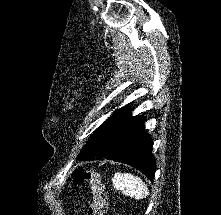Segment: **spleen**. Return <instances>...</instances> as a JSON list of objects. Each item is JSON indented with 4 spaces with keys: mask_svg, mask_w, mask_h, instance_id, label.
Wrapping results in <instances>:
<instances>
[{
    "mask_svg": "<svg viewBox=\"0 0 221 215\" xmlns=\"http://www.w3.org/2000/svg\"><path fill=\"white\" fill-rule=\"evenodd\" d=\"M112 181L114 188L122 190L125 195L135 199H143L148 196L147 186L138 176L117 172Z\"/></svg>",
    "mask_w": 221,
    "mask_h": 215,
    "instance_id": "obj_1",
    "label": "spleen"
}]
</instances>
